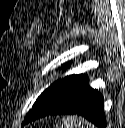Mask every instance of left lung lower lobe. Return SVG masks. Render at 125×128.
<instances>
[{
  "mask_svg": "<svg viewBox=\"0 0 125 128\" xmlns=\"http://www.w3.org/2000/svg\"><path fill=\"white\" fill-rule=\"evenodd\" d=\"M77 114L85 117L99 128H106L102 95L92 89L84 75L75 86L66 103L51 115Z\"/></svg>",
  "mask_w": 125,
  "mask_h": 128,
  "instance_id": "left-lung-lower-lobe-1",
  "label": "left lung lower lobe"
}]
</instances>
